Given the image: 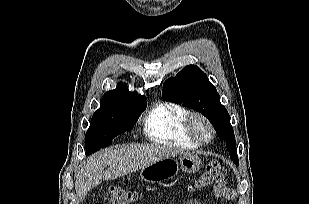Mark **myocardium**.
I'll list each match as a JSON object with an SVG mask.
<instances>
[{"instance_id":"obj_1","label":"myocardium","mask_w":309,"mask_h":204,"mask_svg":"<svg viewBox=\"0 0 309 204\" xmlns=\"http://www.w3.org/2000/svg\"><path fill=\"white\" fill-rule=\"evenodd\" d=\"M202 121L209 129V137L207 139L200 138L195 132L194 124L196 121ZM185 131L196 144L207 145L211 143L215 137V129L211 121L200 112H189L185 119Z\"/></svg>"}]
</instances>
